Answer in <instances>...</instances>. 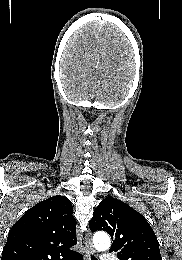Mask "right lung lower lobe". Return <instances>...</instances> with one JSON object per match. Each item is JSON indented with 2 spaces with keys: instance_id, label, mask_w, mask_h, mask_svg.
I'll list each match as a JSON object with an SVG mask.
<instances>
[{
  "instance_id": "obj_1",
  "label": "right lung lower lobe",
  "mask_w": 182,
  "mask_h": 260,
  "mask_svg": "<svg viewBox=\"0 0 182 260\" xmlns=\"http://www.w3.org/2000/svg\"><path fill=\"white\" fill-rule=\"evenodd\" d=\"M67 260H82V255L79 253H76V254L72 255L70 258H68Z\"/></svg>"
}]
</instances>
